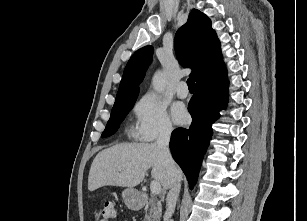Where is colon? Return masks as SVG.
Returning a JSON list of instances; mask_svg holds the SVG:
<instances>
[{
	"label": "colon",
	"instance_id": "1",
	"mask_svg": "<svg viewBox=\"0 0 307 221\" xmlns=\"http://www.w3.org/2000/svg\"><path fill=\"white\" fill-rule=\"evenodd\" d=\"M115 217V206L111 201L104 202L101 209V220L100 221H109Z\"/></svg>",
	"mask_w": 307,
	"mask_h": 221
}]
</instances>
